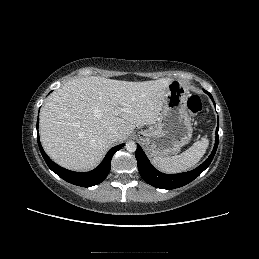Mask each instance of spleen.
Listing matches in <instances>:
<instances>
[{"label": "spleen", "mask_w": 259, "mask_h": 259, "mask_svg": "<svg viewBox=\"0 0 259 259\" xmlns=\"http://www.w3.org/2000/svg\"><path fill=\"white\" fill-rule=\"evenodd\" d=\"M208 145V139L202 138L179 155L153 158L152 164L164 173H179L186 171L200 161L206 153Z\"/></svg>", "instance_id": "1"}]
</instances>
